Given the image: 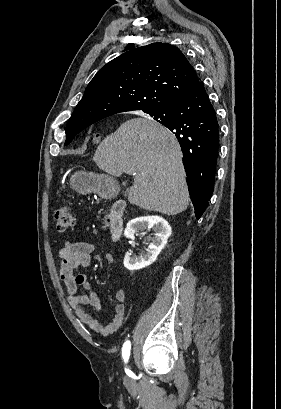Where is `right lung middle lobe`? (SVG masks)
Wrapping results in <instances>:
<instances>
[{"mask_svg":"<svg viewBox=\"0 0 281 409\" xmlns=\"http://www.w3.org/2000/svg\"><path fill=\"white\" fill-rule=\"evenodd\" d=\"M159 123L161 120L155 119ZM88 126H82V127H66V142L65 145L69 144L73 138L78 134L81 130L85 129Z\"/></svg>","mask_w":281,"mask_h":409,"instance_id":"right-lung-middle-lobe-1","label":"right lung middle lobe"}]
</instances>
